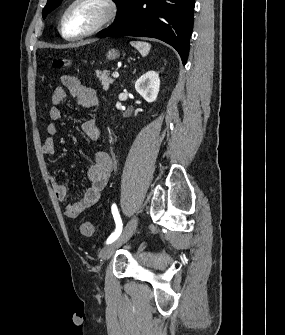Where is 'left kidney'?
<instances>
[{"instance_id":"obj_1","label":"left kidney","mask_w":285,"mask_h":335,"mask_svg":"<svg viewBox=\"0 0 285 335\" xmlns=\"http://www.w3.org/2000/svg\"><path fill=\"white\" fill-rule=\"evenodd\" d=\"M160 88L159 74L157 72H146L135 82V90L146 100V102H155Z\"/></svg>"}]
</instances>
